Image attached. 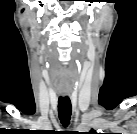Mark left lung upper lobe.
<instances>
[{
	"label": "left lung upper lobe",
	"instance_id": "left-lung-upper-lobe-1",
	"mask_svg": "<svg viewBox=\"0 0 137 134\" xmlns=\"http://www.w3.org/2000/svg\"><path fill=\"white\" fill-rule=\"evenodd\" d=\"M90 133L95 134V133H96V131H95L94 129H92V130L90 131Z\"/></svg>",
	"mask_w": 137,
	"mask_h": 134
}]
</instances>
